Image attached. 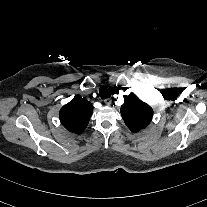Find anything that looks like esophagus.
I'll return each mask as SVG.
<instances>
[{"mask_svg":"<svg viewBox=\"0 0 207 207\" xmlns=\"http://www.w3.org/2000/svg\"><path fill=\"white\" fill-rule=\"evenodd\" d=\"M111 102H112L111 98L104 99V103L107 104V105H110Z\"/></svg>","mask_w":207,"mask_h":207,"instance_id":"obj_1","label":"esophagus"}]
</instances>
